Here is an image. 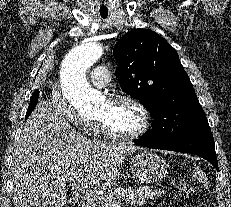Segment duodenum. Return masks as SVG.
Masks as SVG:
<instances>
[{
	"instance_id": "obj_1",
	"label": "duodenum",
	"mask_w": 231,
	"mask_h": 207,
	"mask_svg": "<svg viewBox=\"0 0 231 207\" xmlns=\"http://www.w3.org/2000/svg\"><path fill=\"white\" fill-rule=\"evenodd\" d=\"M79 207H85V205H84V204H81Z\"/></svg>"
}]
</instances>
